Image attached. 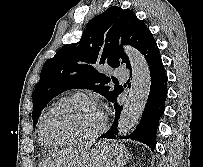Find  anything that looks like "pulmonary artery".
Here are the masks:
<instances>
[{
  "label": "pulmonary artery",
  "mask_w": 203,
  "mask_h": 167,
  "mask_svg": "<svg viewBox=\"0 0 203 167\" xmlns=\"http://www.w3.org/2000/svg\"><path fill=\"white\" fill-rule=\"evenodd\" d=\"M114 75L120 79L128 78V71L124 68H116L114 69Z\"/></svg>",
  "instance_id": "pulmonary-artery-1"
}]
</instances>
